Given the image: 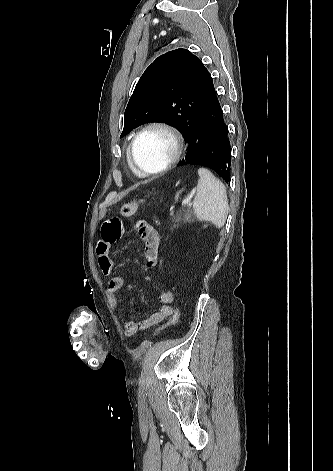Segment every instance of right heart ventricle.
Instances as JSON below:
<instances>
[{
	"label": "right heart ventricle",
	"instance_id": "obj_1",
	"mask_svg": "<svg viewBox=\"0 0 333 471\" xmlns=\"http://www.w3.org/2000/svg\"><path fill=\"white\" fill-rule=\"evenodd\" d=\"M134 172H135L137 175H139V176H142V175H141V174H139L138 172H136V171H134Z\"/></svg>",
	"mask_w": 333,
	"mask_h": 471
}]
</instances>
